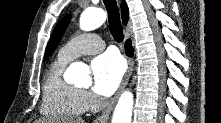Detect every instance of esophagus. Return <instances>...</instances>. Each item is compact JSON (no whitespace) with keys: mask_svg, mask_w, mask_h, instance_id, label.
Returning a JSON list of instances; mask_svg holds the SVG:
<instances>
[{"mask_svg":"<svg viewBox=\"0 0 221 123\" xmlns=\"http://www.w3.org/2000/svg\"><path fill=\"white\" fill-rule=\"evenodd\" d=\"M133 65H134V61L131 57H128V66H127V70L125 72V75L122 79L121 85L117 91V93L115 94V96L110 100L109 104L107 105V107L104 109L103 113L98 116L94 123H107L109 120V117L111 115L112 110L114 109V106L119 98V95L121 94V92L124 90V88L126 87L130 76L132 74V70H133Z\"/></svg>","mask_w":221,"mask_h":123,"instance_id":"obj_1","label":"esophagus"}]
</instances>
